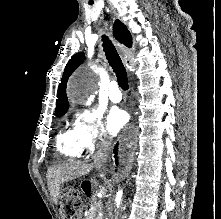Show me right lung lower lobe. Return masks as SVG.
Returning a JSON list of instances; mask_svg holds the SVG:
<instances>
[{"label": "right lung lower lobe", "instance_id": "1", "mask_svg": "<svg viewBox=\"0 0 221 219\" xmlns=\"http://www.w3.org/2000/svg\"><path fill=\"white\" fill-rule=\"evenodd\" d=\"M118 150V144H116L115 149H114V153H117ZM116 159V158H115ZM117 162V161H116Z\"/></svg>", "mask_w": 221, "mask_h": 219}]
</instances>
